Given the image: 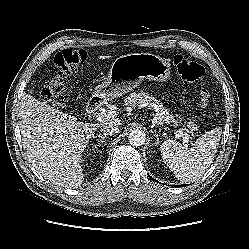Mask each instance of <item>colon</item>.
Instances as JSON below:
<instances>
[{
    "label": "colon",
    "instance_id": "5ec220e1",
    "mask_svg": "<svg viewBox=\"0 0 249 249\" xmlns=\"http://www.w3.org/2000/svg\"><path fill=\"white\" fill-rule=\"evenodd\" d=\"M86 59L87 54L83 50L64 49L58 52L54 58L53 75L42 89L43 99L57 109L63 108L65 79L73 74ZM173 64L180 77L186 82H197L204 77L203 66L183 55H175ZM209 101V90L202 87L199 91V105L206 107Z\"/></svg>",
    "mask_w": 249,
    "mask_h": 249
}]
</instances>
